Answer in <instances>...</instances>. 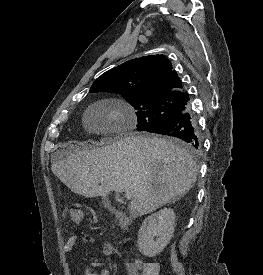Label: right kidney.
<instances>
[{
	"instance_id": "1",
	"label": "right kidney",
	"mask_w": 263,
	"mask_h": 275,
	"mask_svg": "<svg viewBox=\"0 0 263 275\" xmlns=\"http://www.w3.org/2000/svg\"><path fill=\"white\" fill-rule=\"evenodd\" d=\"M174 228L175 214L172 209L164 208L151 214L143 221L138 232L139 251L148 257L156 256L171 240Z\"/></svg>"
}]
</instances>
